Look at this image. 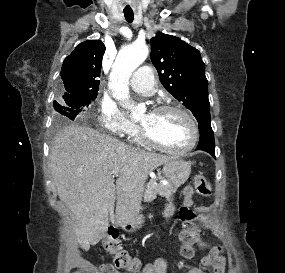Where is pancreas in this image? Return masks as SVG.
<instances>
[{
  "mask_svg": "<svg viewBox=\"0 0 285 273\" xmlns=\"http://www.w3.org/2000/svg\"><path fill=\"white\" fill-rule=\"evenodd\" d=\"M159 179L163 180L162 177H160ZM173 192L174 188L171 184L163 185L161 183H157L156 180L152 179L146 185V189L144 192V200L152 201L156 199L157 195L169 198L173 194Z\"/></svg>",
  "mask_w": 285,
  "mask_h": 273,
  "instance_id": "obj_1",
  "label": "pancreas"
}]
</instances>
